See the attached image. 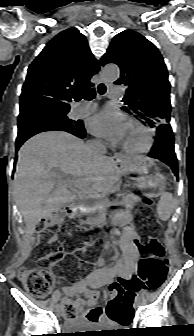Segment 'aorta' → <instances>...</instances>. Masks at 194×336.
<instances>
[{"mask_svg":"<svg viewBox=\"0 0 194 336\" xmlns=\"http://www.w3.org/2000/svg\"><path fill=\"white\" fill-rule=\"evenodd\" d=\"M102 75L107 80H116L119 77V68L114 64L106 65L102 69Z\"/></svg>","mask_w":194,"mask_h":336,"instance_id":"obj_1","label":"aorta"}]
</instances>
